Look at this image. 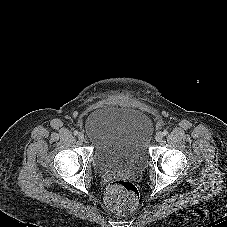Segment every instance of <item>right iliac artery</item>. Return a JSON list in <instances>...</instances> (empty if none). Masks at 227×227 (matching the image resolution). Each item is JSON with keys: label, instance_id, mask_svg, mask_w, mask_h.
<instances>
[{"label": "right iliac artery", "instance_id": "1", "mask_svg": "<svg viewBox=\"0 0 227 227\" xmlns=\"http://www.w3.org/2000/svg\"><path fill=\"white\" fill-rule=\"evenodd\" d=\"M73 134H74V135H78V131L75 130V131L73 132Z\"/></svg>", "mask_w": 227, "mask_h": 227}]
</instances>
